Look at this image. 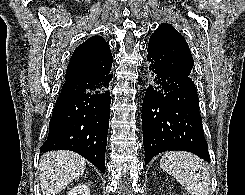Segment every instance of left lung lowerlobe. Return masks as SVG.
Listing matches in <instances>:
<instances>
[{
    "instance_id": "1",
    "label": "left lung lower lobe",
    "mask_w": 245,
    "mask_h": 195,
    "mask_svg": "<svg viewBox=\"0 0 245 195\" xmlns=\"http://www.w3.org/2000/svg\"><path fill=\"white\" fill-rule=\"evenodd\" d=\"M147 60L154 84L147 88L142 103L145 165L170 150L192 152L210 162L194 82Z\"/></svg>"
}]
</instances>
